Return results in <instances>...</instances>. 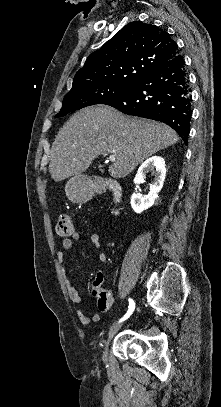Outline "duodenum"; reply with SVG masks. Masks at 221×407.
<instances>
[{"label": "duodenum", "mask_w": 221, "mask_h": 407, "mask_svg": "<svg viewBox=\"0 0 221 407\" xmlns=\"http://www.w3.org/2000/svg\"><path fill=\"white\" fill-rule=\"evenodd\" d=\"M107 191H111L113 194V202H114V207H113V214L117 215L119 212V206L122 200V189L120 185L115 184V183H93L90 185L89 188V193L90 194H100L104 193Z\"/></svg>", "instance_id": "410a0bca"}]
</instances>
